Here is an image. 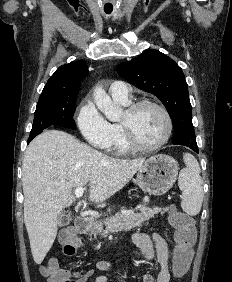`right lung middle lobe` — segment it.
<instances>
[{"label":"right lung middle lobe","instance_id":"obj_1","mask_svg":"<svg viewBox=\"0 0 232 282\" xmlns=\"http://www.w3.org/2000/svg\"><path fill=\"white\" fill-rule=\"evenodd\" d=\"M78 94L39 97L28 141L48 127L60 126L75 129L73 119Z\"/></svg>","mask_w":232,"mask_h":282}]
</instances>
